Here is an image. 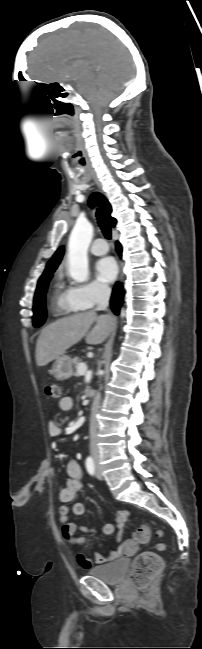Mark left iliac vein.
Segmentation results:
<instances>
[{
  "instance_id": "left-iliac-vein-1",
  "label": "left iliac vein",
  "mask_w": 202,
  "mask_h": 649,
  "mask_svg": "<svg viewBox=\"0 0 202 649\" xmlns=\"http://www.w3.org/2000/svg\"><path fill=\"white\" fill-rule=\"evenodd\" d=\"M95 473H96V477H97L99 480H102V474H101V470H100V467H99L98 464H96V470H95Z\"/></svg>"
}]
</instances>
